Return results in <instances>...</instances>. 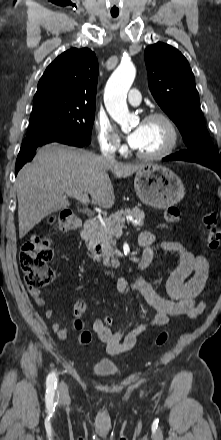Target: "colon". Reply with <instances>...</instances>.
<instances>
[{
	"instance_id": "colon-1",
	"label": "colon",
	"mask_w": 221,
	"mask_h": 440,
	"mask_svg": "<svg viewBox=\"0 0 221 440\" xmlns=\"http://www.w3.org/2000/svg\"><path fill=\"white\" fill-rule=\"evenodd\" d=\"M182 214L177 207H169L164 212V219L170 225L178 224ZM204 224L209 228L207 235V246L210 250H216L221 245L220 231L213 227L216 223V216L213 213L206 214L203 218ZM56 228L62 232H72L81 225L80 218L71 211L60 212L53 220ZM53 258V251L50 242L46 237L33 235L25 241L19 254V265L24 273L25 282L31 288H41L48 285L54 279V270L49 266ZM86 303L80 300L74 305L75 327L80 330V342L87 345L91 342V333L83 330L81 317L86 311ZM102 322L107 329H114L116 322L113 315H104ZM168 333L161 332L154 340V347H160L166 343Z\"/></svg>"
}]
</instances>
